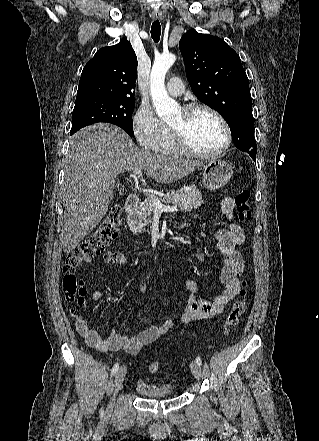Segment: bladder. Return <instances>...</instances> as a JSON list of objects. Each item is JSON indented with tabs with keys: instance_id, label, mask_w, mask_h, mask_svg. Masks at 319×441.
<instances>
[{
	"instance_id": "1",
	"label": "bladder",
	"mask_w": 319,
	"mask_h": 441,
	"mask_svg": "<svg viewBox=\"0 0 319 441\" xmlns=\"http://www.w3.org/2000/svg\"><path fill=\"white\" fill-rule=\"evenodd\" d=\"M136 390L148 398H169L174 395V387L170 382L155 384L145 379H139L136 382Z\"/></svg>"
}]
</instances>
